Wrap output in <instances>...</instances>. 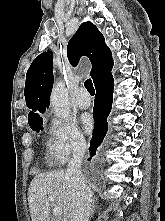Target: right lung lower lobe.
I'll use <instances>...</instances> for the list:
<instances>
[{
    "label": "right lung lower lobe",
    "mask_w": 165,
    "mask_h": 221,
    "mask_svg": "<svg viewBox=\"0 0 165 221\" xmlns=\"http://www.w3.org/2000/svg\"><path fill=\"white\" fill-rule=\"evenodd\" d=\"M113 87L112 75H109L95 85L96 95L93 109L95 125L89 148L91 157L95 155L96 151L100 148L108 130L107 117L111 111Z\"/></svg>",
    "instance_id": "right-lung-lower-lobe-1"
}]
</instances>
